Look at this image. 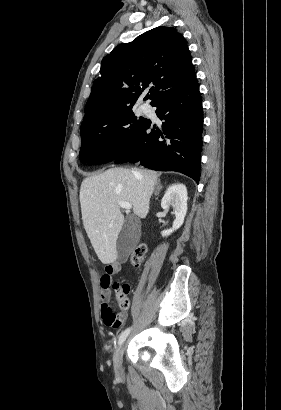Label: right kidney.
Listing matches in <instances>:
<instances>
[{
    "mask_svg": "<svg viewBox=\"0 0 281 410\" xmlns=\"http://www.w3.org/2000/svg\"><path fill=\"white\" fill-rule=\"evenodd\" d=\"M187 199V189L184 184L176 183L167 189L161 200V207L163 209L172 207L176 218L171 229L161 232L163 237L169 236L182 226L187 213Z\"/></svg>",
    "mask_w": 281,
    "mask_h": 410,
    "instance_id": "1",
    "label": "right kidney"
}]
</instances>
